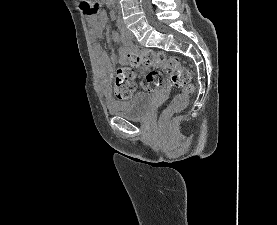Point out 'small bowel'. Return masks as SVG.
I'll return each mask as SVG.
<instances>
[{
	"mask_svg": "<svg viewBox=\"0 0 277 225\" xmlns=\"http://www.w3.org/2000/svg\"><path fill=\"white\" fill-rule=\"evenodd\" d=\"M87 19L92 27L91 34L93 37L99 36L103 33L104 27L107 23V17L105 13H102L98 18L95 15H88ZM111 38L116 43L123 42L120 36L117 34L116 31L111 33ZM93 55L96 61L97 66L100 68V72L102 75L111 71L112 66L109 59V56L106 52L102 50V47L99 43L94 42L92 45ZM120 59H124L126 57V49L122 47L119 51ZM107 83L103 84V87L106 88Z\"/></svg>",
	"mask_w": 277,
	"mask_h": 225,
	"instance_id": "1",
	"label": "small bowel"
}]
</instances>
